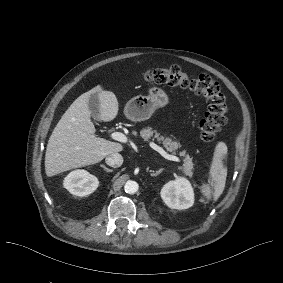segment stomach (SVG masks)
Wrapping results in <instances>:
<instances>
[{"label": "stomach", "instance_id": "1", "mask_svg": "<svg viewBox=\"0 0 283 283\" xmlns=\"http://www.w3.org/2000/svg\"><path fill=\"white\" fill-rule=\"evenodd\" d=\"M167 102L166 95L158 88H152L149 96L138 95L131 98L124 106L123 114L132 122L148 120L158 106Z\"/></svg>", "mask_w": 283, "mask_h": 283}]
</instances>
